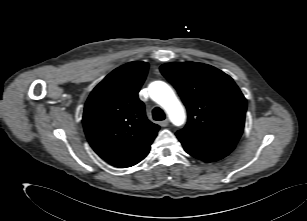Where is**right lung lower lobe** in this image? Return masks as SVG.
Listing matches in <instances>:
<instances>
[{"label": "right lung lower lobe", "instance_id": "1", "mask_svg": "<svg viewBox=\"0 0 307 221\" xmlns=\"http://www.w3.org/2000/svg\"><path fill=\"white\" fill-rule=\"evenodd\" d=\"M149 150H147L143 155H141L137 160H135L133 163H131L128 167L133 166L135 164H137L138 162H140L142 159H144L147 154H148Z\"/></svg>", "mask_w": 307, "mask_h": 221}]
</instances>
